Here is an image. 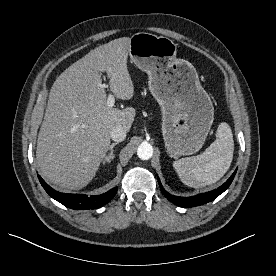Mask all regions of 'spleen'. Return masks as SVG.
I'll return each instance as SVG.
<instances>
[{"mask_svg":"<svg viewBox=\"0 0 276 276\" xmlns=\"http://www.w3.org/2000/svg\"><path fill=\"white\" fill-rule=\"evenodd\" d=\"M234 152L230 126L223 122L216 132V140L201 154L173 162L181 181L193 188H200L220 180L229 169Z\"/></svg>","mask_w":276,"mask_h":276,"instance_id":"obj_1","label":"spleen"}]
</instances>
